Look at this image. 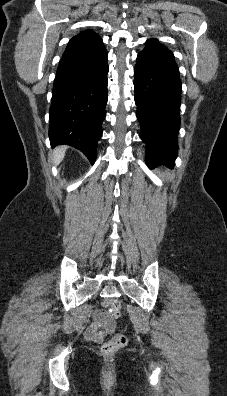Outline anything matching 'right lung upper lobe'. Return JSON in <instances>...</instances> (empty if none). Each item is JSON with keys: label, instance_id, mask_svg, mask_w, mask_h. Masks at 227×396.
<instances>
[{"label": "right lung upper lobe", "instance_id": "cb5924a9", "mask_svg": "<svg viewBox=\"0 0 227 396\" xmlns=\"http://www.w3.org/2000/svg\"><path fill=\"white\" fill-rule=\"evenodd\" d=\"M102 39L98 34L92 30H86L80 32L78 35L74 36L68 43L67 47L70 46H80L84 44H91L100 42Z\"/></svg>", "mask_w": 227, "mask_h": 396}]
</instances>
